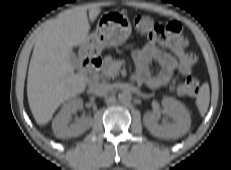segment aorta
Instances as JSON below:
<instances>
[{
  "instance_id": "obj_1",
  "label": "aorta",
  "mask_w": 231,
  "mask_h": 170,
  "mask_svg": "<svg viewBox=\"0 0 231 170\" xmlns=\"http://www.w3.org/2000/svg\"><path fill=\"white\" fill-rule=\"evenodd\" d=\"M118 99L121 103L126 104L132 100V95L129 92H122V93H119Z\"/></svg>"
}]
</instances>
